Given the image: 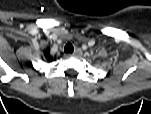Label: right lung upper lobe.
Wrapping results in <instances>:
<instances>
[{
  "label": "right lung upper lobe",
  "instance_id": "1",
  "mask_svg": "<svg viewBox=\"0 0 151 114\" xmlns=\"http://www.w3.org/2000/svg\"><path fill=\"white\" fill-rule=\"evenodd\" d=\"M44 56L47 60H50V56H49V52L48 51H45L44 52Z\"/></svg>",
  "mask_w": 151,
  "mask_h": 114
}]
</instances>
